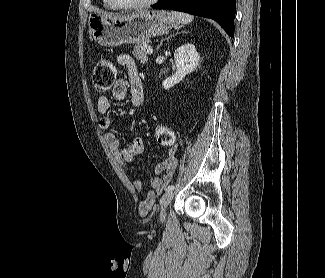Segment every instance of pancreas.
<instances>
[{
  "label": "pancreas",
  "instance_id": "pancreas-1",
  "mask_svg": "<svg viewBox=\"0 0 325 278\" xmlns=\"http://www.w3.org/2000/svg\"><path fill=\"white\" fill-rule=\"evenodd\" d=\"M149 44H150V40H147L134 47L132 53L134 54L135 58L138 61L142 63H145L147 61V49L150 47Z\"/></svg>",
  "mask_w": 325,
  "mask_h": 278
}]
</instances>
